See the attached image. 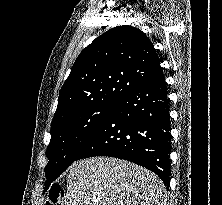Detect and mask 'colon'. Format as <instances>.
Segmentation results:
<instances>
[{"label": "colon", "instance_id": "1", "mask_svg": "<svg viewBox=\"0 0 222 205\" xmlns=\"http://www.w3.org/2000/svg\"><path fill=\"white\" fill-rule=\"evenodd\" d=\"M64 189L60 185H54L49 193L45 205H61Z\"/></svg>", "mask_w": 222, "mask_h": 205}]
</instances>
